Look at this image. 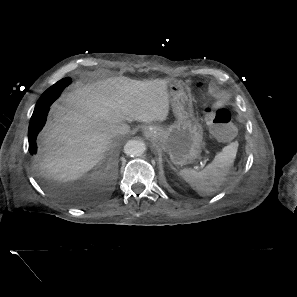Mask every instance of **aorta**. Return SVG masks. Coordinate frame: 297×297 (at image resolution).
<instances>
[{
  "mask_svg": "<svg viewBox=\"0 0 297 297\" xmlns=\"http://www.w3.org/2000/svg\"><path fill=\"white\" fill-rule=\"evenodd\" d=\"M146 150L145 143L140 140H129L124 146V153L130 157L141 156Z\"/></svg>",
  "mask_w": 297,
  "mask_h": 297,
  "instance_id": "762f6f07",
  "label": "aorta"
}]
</instances>
